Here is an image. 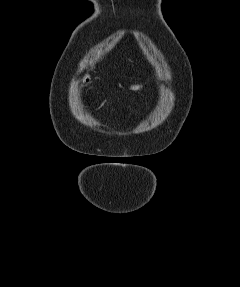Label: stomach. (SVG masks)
<instances>
[{
    "label": "stomach",
    "mask_w": 240,
    "mask_h": 287,
    "mask_svg": "<svg viewBox=\"0 0 240 287\" xmlns=\"http://www.w3.org/2000/svg\"><path fill=\"white\" fill-rule=\"evenodd\" d=\"M141 88V85H139V84H131L130 86H129V90H131V91H138L139 89Z\"/></svg>",
    "instance_id": "1"
}]
</instances>
